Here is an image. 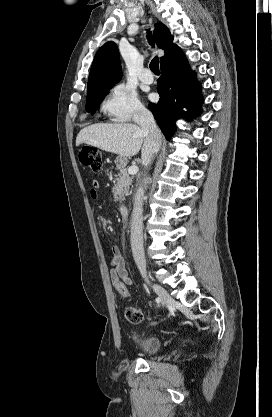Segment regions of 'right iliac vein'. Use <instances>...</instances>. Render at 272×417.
<instances>
[{
	"label": "right iliac vein",
	"mask_w": 272,
	"mask_h": 417,
	"mask_svg": "<svg viewBox=\"0 0 272 417\" xmlns=\"http://www.w3.org/2000/svg\"><path fill=\"white\" fill-rule=\"evenodd\" d=\"M151 286H152L153 290L157 293V295H158V297L161 301L162 306H165L166 304H168L171 301L170 295L168 294V292L162 286H159V285H156V284H153Z\"/></svg>",
	"instance_id": "63e3f726"
}]
</instances>
